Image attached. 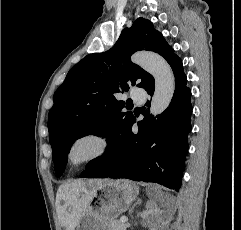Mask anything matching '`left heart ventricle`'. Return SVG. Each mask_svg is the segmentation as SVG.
Returning a JSON list of instances; mask_svg holds the SVG:
<instances>
[{
  "label": "left heart ventricle",
  "instance_id": "1",
  "mask_svg": "<svg viewBox=\"0 0 241 230\" xmlns=\"http://www.w3.org/2000/svg\"><path fill=\"white\" fill-rule=\"evenodd\" d=\"M97 149V143L90 139L82 140L76 143L71 151V160L79 162L90 156Z\"/></svg>",
  "mask_w": 241,
  "mask_h": 230
}]
</instances>
